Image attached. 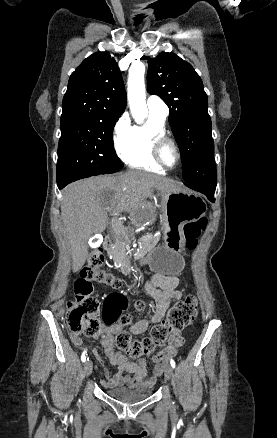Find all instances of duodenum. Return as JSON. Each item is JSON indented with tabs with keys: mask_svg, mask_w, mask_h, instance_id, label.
I'll list each match as a JSON object with an SVG mask.
<instances>
[{
	"mask_svg": "<svg viewBox=\"0 0 277 438\" xmlns=\"http://www.w3.org/2000/svg\"><path fill=\"white\" fill-rule=\"evenodd\" d=\"M112 240L110 238H106L103 242V249L105 251H110L112 249Z\"/></svg>",
	"mask_w": 277,
	"mask_h": 438,
	"instance_id": "obj_1",
	"label": "duodenum"
}]
</instances>
